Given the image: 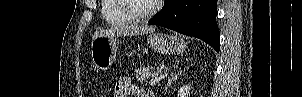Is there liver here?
I'll return each mask as SVG.
<instances>
[{
	"instance_id": "liver-1",
	"label": "liver",
	"mask_w": 302,
	"mask_h": 97,
	"mask_svg": "<svg viewBox=\"0 0 302 97\" xmlns=\"http://www.w3.org/2000/svg\"><path fill=\"white\" fill-rule=\"evenodd\" d=\"M155 31L154 27L147 25H121L111 27L106 30L96 31L92 37V40L98 36L111 37V36H134L153 33Z\"/></svg>"
}]
</instances>
